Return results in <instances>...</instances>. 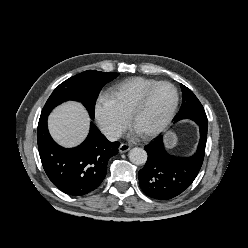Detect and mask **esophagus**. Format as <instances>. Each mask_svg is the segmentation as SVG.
Here are the masks:
<instances>
[{"label":"esophagus","mask_w":248,"mask_h":248,"mask_svg":"<svg viewBox=\"0 0 248 248\" xmlns=\"http://www.w3.org/2000/svg\"><path fill=\"white\" fill-rule=\"evenodd\" d=\"M131 148V146L127 143H122L120 146H119V152L121 153H125L127 152L129 149Z\"/></svg>","instance_id":"esophagus-1"}]
</instances>
